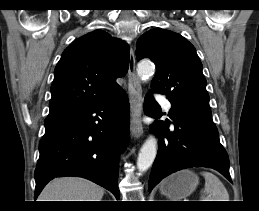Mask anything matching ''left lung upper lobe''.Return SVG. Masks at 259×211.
<instances>
[{"label": "left lung upper lobe", "mask_w": 259, "mask_h": 211, "mask_svg": "<svg viewBox=\"0 0 259 211\" xmlns=\"http://www.w3.org/2000/svg\"><path fill=\"white\" fill-rule=\"evenodd\" d=\"M136 56L156 64L154 92L166 94L176 105L211 113L202 64L188 40L169 30L151 29L138 39Z\"/></svg>", "instance_id": "5c2ea615"}]
</instances>
